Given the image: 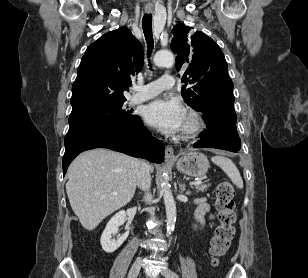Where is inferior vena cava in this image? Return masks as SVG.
Returning <instances> with one entry per match:
<instances>
[{
    "label": "inferior vena cava",
    "instance_id": "602c4592",
    "mask_svg": "<svg viewBox=\"0 0 308 278\" xmlns=\"http://www.w3.org/2000/svg\"><path fill=\"white\" fill-rule=\"evenodd\" d=\"M137 186L145 192V200L151 201L152 195L149 192L151 186L150 166L145 161H141V167L137 174ZM148 211L154 214V209L151 208Z\"/></svg>",
    "mask_w": 308,
    "mask_h": 278
}]
</instances>
